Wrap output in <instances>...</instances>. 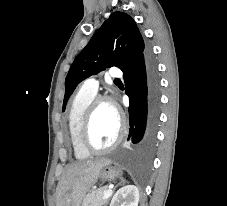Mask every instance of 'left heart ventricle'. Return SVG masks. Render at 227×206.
Returning a JSON list of instances; mask_svg holds the SVG:
<instances>
[{
	"instance_id": "left-heart-ventricle-1",
	"label": "left heart ventricle",
	"mask_w": 227,
	"mask_h": 206,
	"mask_svg": "<svg viewBox=\"0 0 227 206\" xmlns=\"http://www.w3.org/2000/svg\"><path fill=\"white\" fill-rule=\"evenodd\" d=\"M119 129L118 116L110 104H101L93 117L91 141L98 148L109 146L116 138Z\"/></svg>"
}]
</instances>
